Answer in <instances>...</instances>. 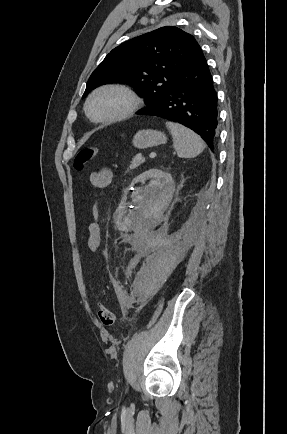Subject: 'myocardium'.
<instances>
[{
	"instance_id": "f54148a6",
	"label": "myocardium",
	"mask_w": 287,
	"mask_h": 434,
	"mask_svg": "<svg viewBox=\"0 0 287 434\" xmlns=\"http://www.w3.org/2000/svg\"><path fill=\"white\" fill-rule=\"evenodd\" d=\"M107 91H117L123 94L127 99L126 107L118 114L108 116V117H94L90 111V105L95 97L100 95L101 93ZM141 105V99L139 95L130 87L119 84V83H108L103 84L95 88L87 97L84 109L87 117L94 123L97 124H111L119 121H123L131 117L134 113L137 112Z\"/></svg>"
}]
</instances>
